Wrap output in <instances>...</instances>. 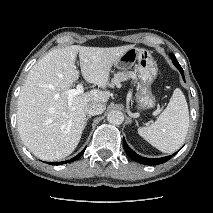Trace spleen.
Masks as SVG:
<instances>
[{
	"label": "spleen",
	"instance_id": "obj_1",
	"mask_svg": "<svg viewBox=\"0 0 213 213\" xmlns=\"http://www.w3.org/2000/svg\"><path fill=\"white\" fill-rule=\"evenodd\" d=\"M189 128V111L184 94L176 88L157 120L138 129L139 135L164 153L178 150L184 143Z\"/></svg>",
	"mask_w": 213,
	"mask_h": 213
}]
</instances>
